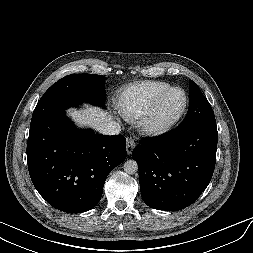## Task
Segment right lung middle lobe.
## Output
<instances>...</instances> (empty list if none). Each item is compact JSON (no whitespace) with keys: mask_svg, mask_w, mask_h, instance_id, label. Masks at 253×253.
Returning <instances> with one entry per match:
<instances>
[{"mask_svg":"<svg viewBox=\"0 0 253 253\" xmlns=\"http://www.w3.org/2000/svg\"><path fill=\"white\" fill-rule=\"evenodd\" d=\"M105 79L106 77L95 74H71L60 79L39 100L30 125L83 102L104 108Z\"/></svg>","mask_w":253,"mask_h":253,"instance_id":"right-lung-middle-lobe-1","label":"right lung middle lobe"}]
</instances>
